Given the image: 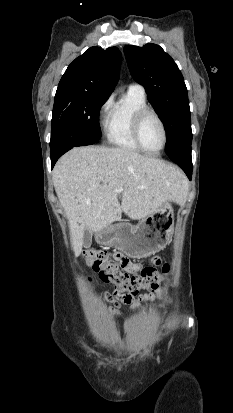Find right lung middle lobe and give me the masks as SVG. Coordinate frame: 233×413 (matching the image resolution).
<instances>
[{"label":"right lung middle lobe","mask_w":233,"mask_h":413,"mask_svg":"<svg viewBox=\"0 0 233 413\" xmlns=\"http://www.w3.org/2000/svg\"><path fill=\"white\" fill-rule=\"evenodd\" d=\"M108 97L80 90H57L50 145L61 140L100 139L99 110Z\"/></svg>","instance_id":"obj_1"}]
</instances>
